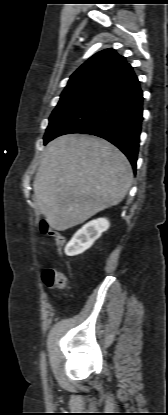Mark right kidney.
<instances>
[{
    "instance_id": "obj_1",
    "label": "right kidney",
    "mask_w": 168,
    "mask_h": 415,
    "mask_svg": "<svg viewBox=\"0 0 168 415\" xmlns=\"http://www.w3.org/2000/svg\"><path fill=\"white\" fill-rule=\"evenodd\" d=\"M110 226L106 218H98L79 229L65 247L67 256H75L89 249Z\"/></svg>"
}]
</instances>
